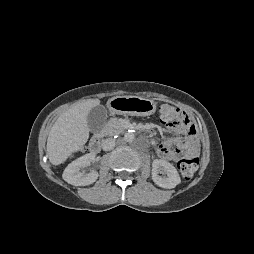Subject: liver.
I'll return each instance as SVG.
<instances>
[{"label":"liver","mask_w":254,"mask_h":254,"mask_svg":"<svg viewBox=\"0 0 254 254\" xmlns=\"http://www.w3.org/2000/svg\"><path fill=\"white\" fill-rule=\"evenodd\" d=\"M99 99H90L65 111L52 126L47 139V156L53 165H59L79 151L89 138L87 117Z\"/></svg>","instance_id":"6515ba94"}]
</instances>
